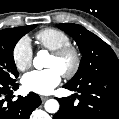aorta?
Instances as JSON below:
<instances>
[{"label":"aorta","mask_w":119,"mask_h":119,"mask_svg":"<svg viewBox=\"0 0 119 119\" xmlns=\"http://www.w3.org/2000/svg\"><path fill=\"white\" fill-rule=\"evenodd\" d=\"M47 57L48 52L46 50H40L33 60L34 67L39 70L45 67V60ZM44 107L48 113H56L59 110V103L55 99H50L46 101Z\"/></svg>","instance_id":"aorta-1"}]
</instances>
